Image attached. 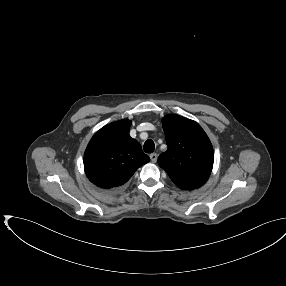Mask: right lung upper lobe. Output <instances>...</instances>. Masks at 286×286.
I'll use <instances>...</instances> for the list:
<instances>
[{
  "label": "right lung upper lobe",
  "instance_id": "cb5924a9",
  "mask_svg": "<svg viewBox=\"0 0 286 286\" xmlns=\"http://www.w3.org/2000/svg\"><path fill=\"white\" fill-rule=\"evenodd\" d=\"M130 125L131 121L125 119L104 126L86 148L85 173L104 190L125 184L139 167L150 161L140 143L130 137Z\"/></svg>",
  "mask_w": 286,
  "mask_h": 286
}]
</instances>
